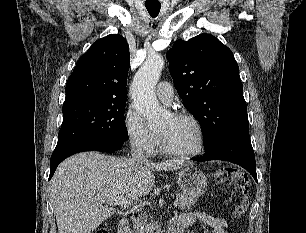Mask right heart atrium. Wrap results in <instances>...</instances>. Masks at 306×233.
Wrapping results in <instances>:
<instances>
[{
  "instance_id": "d8ad5b80",
  "label": "right heart atrium",
  "mask_w": 306,
  "mask_h": 233,
  "mask_svg": "<svg viewBox=\"0 0 306 233\" xmlns=\"http://www.w3.org/2000/svg\"><path fill=\"white\" fill-rule=\"evenodd\" d=\"M124 129L132 149L146 155H153L159 145V136L146 124L142 115L129 109L124 119Z\"/></svg>"
}]
</instances>
